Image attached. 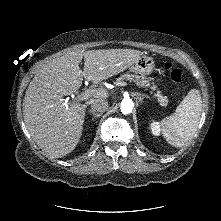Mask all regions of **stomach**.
<instances>
[{
  "label": "stomach",
  "mask_w": 221,
  "mask_h": 221,
  "mask_svg": "<svg viewBox=\"0 0 221 221\" xmlns=\"http://www.w3.org/2000/svg\"><path fill=\"white\" fill-rule=\"evenodd\" d=\"M154 68V60L145 55L140 56L129 66L130 71L144 75L150 74Z\"/></svg>",
  "instance_id": "1"
}]
</instances>
